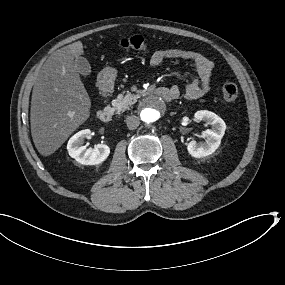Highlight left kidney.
<instances>
[{"instance_id":"left-kidney-1","label":"left kidney","mask_w":285,"mask_h":285,"mask_svg":"<svg viewBox=\"0 0 285 285\" xmlns=\"http://www.w3.org/2000/svg\"><path fill=\"white\" fill-rule=\"evenodd\" d=\"M195 117L199 121H205L212 126L211 130L204 131L207 140L203 144L197 145L195 141H192L187 146V152L191 157L202 158L213 154L219 148L226 124L218 115L210 111H198Z\"/></svg>"}]
</instances>
